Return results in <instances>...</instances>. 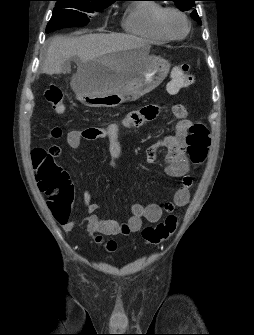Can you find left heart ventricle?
Listing matches in <instances>:
<instances>
[{
  "mask_svg": "<svg viewBox=\"0 0 254 335\" xmlns=\"http://www.w3.org/2000/svg\"><path fill=\"white\" fill-rule=\"evenodd\" d=\"M165 30L172 36H180L186 30L184 20L175 13H167L163 18Z\"/></svg>",
  "mask_w": 254,
  "mask_h": 335,
  "instance_id": "1",
  "label": "left heart ventricle"
}]
</instances>
